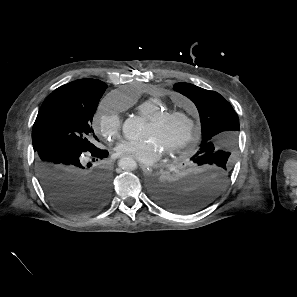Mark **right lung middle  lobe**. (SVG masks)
Returning a JSON list of instances; mask_svg holds the SVG:
<instances>
[{
	"label": "right lung middle lobe",
	"mask_w": 297,
	"mask_h": 297,
	"mask_svg": "<svg viewBox=\"0 0 297 297\" xmlns=\"http://www.w3.org/2000/svg\"><path fill=\"white\" fill-rule=\"evenodd\" d=\"M107 85L100 88H64L52 92L42 104L33 125L37 151L50 144H64L83 152L94 151L97 140L91 127L94 113Z\"/></svg>",
	"instance_id": "right-lung-middle-lobe-1"
}]
</instances>
